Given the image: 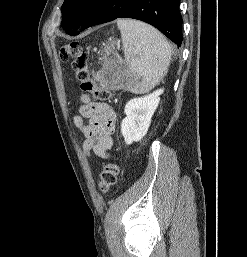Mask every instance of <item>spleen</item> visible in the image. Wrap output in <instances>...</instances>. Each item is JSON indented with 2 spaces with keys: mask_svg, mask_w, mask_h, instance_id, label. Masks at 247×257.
Listing matches in <instances>:
<instances>
[{
  "mask_svg": "<svg viewBox=\"0 0 247 257\" xmlns=\"http://www.w3.org/2000/svg\"><path fill=\"white\" fill-rule=\"evenodd\" d=\"M126 64L134 78L131 89L146 92L165 77L171 46L154 27L132 19H118Z\"/></svg>",
  "mask_w": 247,
  "mask_h": 257,
  "instance_id": "obj_1",
  "label": "spleen"
}]
</instances>
